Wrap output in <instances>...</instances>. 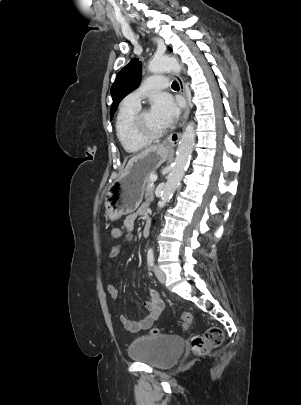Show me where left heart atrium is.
Listing matches in <instances>:
<instances>
[{"instance_id": "left-heart-atrium-1", "label": "left heart atrium", "mask_w": 301, "mask_h": 405, "mask_svg": "<svg viewBox=\"0 0 301 405\" xmlns=\"http://www.w3.org/2000/svg\"><path fill=\"white\" fill-rule=\"evenodd\" d=\"M151 111L165 126H169L178 117L180 104L171 95L161 93L154 97Z\"/></svg>"}]
</instances>
